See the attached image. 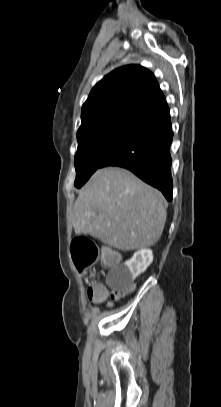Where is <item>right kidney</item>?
Wrapping results in <instances>:
<instances>
[{
  "mask_svg": "<svg viewBox=\"0 0 221 407\" xmlns=\"http://www.w3.org/2000/svg\"><path fill=\"white\" fill-rule=\"evenodd\" d=\"M153 261V253L150 249H141L134 253L132 258L124 263L128 272L124 274L126 283H132Z\"/></svg>",
  "mask_w": 221,
  "mask_h": 407,
  "instance_id": "right-kidney-1",
  "label": "right kidney"
}]
</instances>
